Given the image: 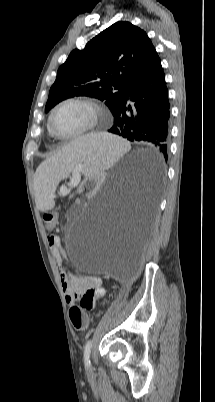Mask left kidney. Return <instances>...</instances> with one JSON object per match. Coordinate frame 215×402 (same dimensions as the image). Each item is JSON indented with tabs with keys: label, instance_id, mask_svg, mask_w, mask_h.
Returning <instances> with one entry per match:
<instances>
[{
	"label": "left kidney",
	"instance_id": "1",
	"mask_svg": "<svg viewBox=\"0 0 215 402\" xmlns=\"http://www.w3.org/2000/svg\"><path fill=\"white\" fill-rule=\"evenodd\" d=\"M104 176L105 171L103 169H98L94 175H87L82 191L84 193H96L97 187L101 186V180H103Z\"/></svg>",
	"mask_w": 215,
	"mask_h": 402
}]
</instances>
